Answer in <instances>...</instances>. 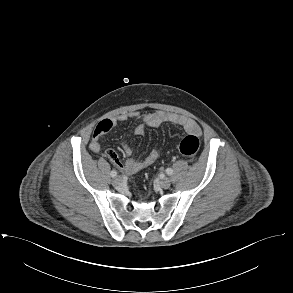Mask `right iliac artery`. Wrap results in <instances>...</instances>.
<instances>
[{"label": "right iliac artery", "mask_w": 293, "mask_h": 293, "mask_svg": "<svg viewBox=\"0 0 293 293\" xmlns=\"http://www.w3.org/2000/svg\"><path fill=\"white\" fill-rule=\"evenodd\" d=\"M110 175H111V177H116L117 176V172L115 171V170H112L111 172H110Z\"/></svg>", "instance_id": "82829eb1"}]
</instances>
